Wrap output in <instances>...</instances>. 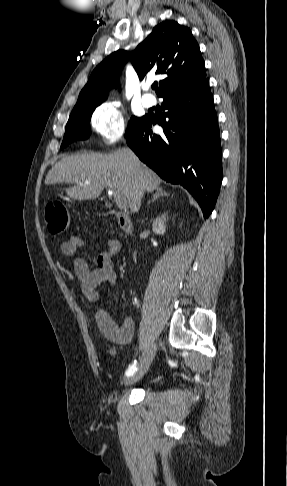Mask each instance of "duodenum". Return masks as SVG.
Masks as SVG:
<instances>
[{
	"label": "duodenum",
	"instance_id": "1",
	"mask_svg": "<svg viewBox=\"0 0 287 486\" xmlns=\"http://www.w3.org/2000/svg\"><path fill=\"white\" fill-rule=\"evenodd\" d=\"M114 215L117 219L120 229L126 234H131L134 227L130 217L122 212H114Z\"/></svg>",
	"mask_w": 287,
	"mask_h": 486
}]
</instances>
